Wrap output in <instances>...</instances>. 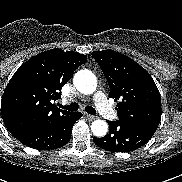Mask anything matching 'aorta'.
Here are the masks:
<instances>
[{
	"label": "aorta",
	"mask_w": 182,
	"mask_h": 182,
	"mask_svg": "<svg viewBox=\"0 0 182 182\" xmlns=\"http://www.w3.org/2000/svg\"><path fill=\"white\" fill-rule=\"evenodd\" d=\"M73 84L76 89L83 94H92L97 87V79L93 72L84 69L78 71L73 78ZM91 130L97 137H103L107 134L108 124L104 120H96L91 124Z\"/></svg>",
	"instance_id": "obj_1"
}]
</instances>
